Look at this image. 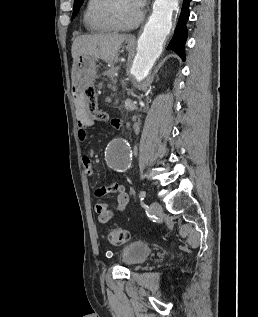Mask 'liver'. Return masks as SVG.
<instances>
[{
    "mask_svg": "<svg viewBox=\"0 0 258 317\" xmlns=\"http://www.w3.org/2000/svg\"><path fill=\"white\" fill-rule=\"evenodd\" d=\"M128 34H117V32H92V34H81L73 40L71 52L73 56V68L75 60L80 54H89L95 58H101L113 66L114 56L122 46L123 40Z\"/></svg>",
    "mask_w": 258,
    "mask_h": 317,
    "instance_id": "obj_1",
    "label": "liver"
}]
</instances>
